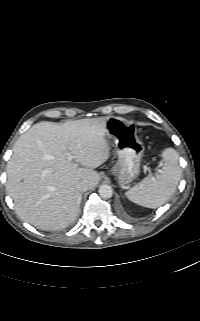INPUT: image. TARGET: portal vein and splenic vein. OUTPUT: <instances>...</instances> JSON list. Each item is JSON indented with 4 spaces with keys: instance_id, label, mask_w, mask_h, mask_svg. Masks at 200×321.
<instances>
[{
    "instance_id": "18ae733b",
    "label": "portal vein and splenic vein",
    "mask_w": 200,
    "mask_h": 321,
    "mask_svg": "<svg viewBox=\"0 0 200 321\" xmlns=\"http://www.w3.org/2000/svg\"><path fill=\"white\" fill-rule=\"evenodd\" d=\"M67 158H68L69 161H71V160L73 159V156H72L71 154L67 153ZM148 169H149V168H148ZM149 170H150V169H149Z\"/></svg>"
}]
</instances>
